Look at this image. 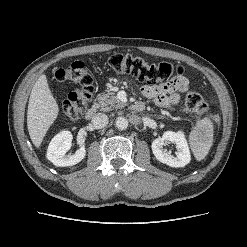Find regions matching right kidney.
Segmentation results:
<instances>
[{"instance_id":"right-kidney-1","label":"right kidney","mask_w":247,"mask_h":247,"mask_svg":"<svg viewBox=\"0 0 247 247\" xmlns=\"http://www.w3.org/2000/svg\"><path fill=\"white\" fill-rule=\"evenodd\" d=\"M72 139L73 136L70 131H61L54 136L47 149V159L54 165L61 167L72 166L82 161L86 155L84 145L74 155H66L71 148Z\"/></svg>"}]
</instances>
